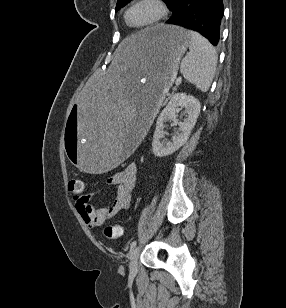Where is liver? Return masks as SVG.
I'll use <instances>...</instances> for the list:
<instances>
[{
  "mask_svg": "<svg viewBox=\"0 0 286 308\" xmlns=\"http://www.w3.org/2000/svg\"><path fill=\"white\" fill-rule=\"evenodd\" d=\"M140 40L141 37L138 34H134L124 39L116 49L113 66H117L118 63L130 60L136 56Z\"/></svg>",
  "mask_w": 286,
  "mask_h": 308,
  "instance_id": "obj_1",
  "label": "liver"
}]
</instances>
